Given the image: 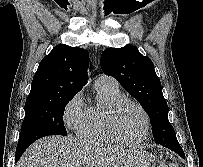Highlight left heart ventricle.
<instances>
[{"instance_id":"1","label":"left heart ventricle","mask_w":203,"mask_h":167,"mask_svg":"<svg viewBox=\"0 0 203 167\" xmlns=\"http://www.w3.org/2000/svg\"><path fill=\"white\" fill-rule=\"evenodd\" d=\"M116 127L124 139L136 141L144 133L143 115L136 107L126 105L117 117Z\"/></svg>"}]
</instances>
